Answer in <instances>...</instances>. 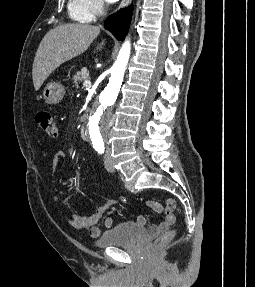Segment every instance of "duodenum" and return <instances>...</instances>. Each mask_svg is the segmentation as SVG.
<instances>
[{"label":"duodenum","mask_w":255,"mask_h":287,"mask_svg":"<svg viewBox=\"0 0 255 287\" xmlns=\"http://www.w3.org/2000/svg\"><path fill=\"white\" fill-rule=\"evenodd\" d=\"M79 133H80V137L83 140H88L89 136H88V129L86 126H81Z\"/></svg>","instance_id":"410a0bca"}]
</instances>
